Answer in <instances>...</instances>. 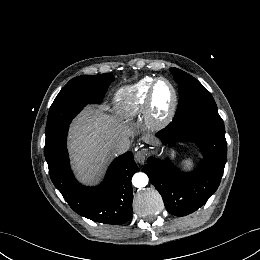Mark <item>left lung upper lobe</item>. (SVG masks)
<instances>
[{
    "label": "left lung upper lobe",
    "instance_id": "5c2ea615",
    "mask_svg": "<svg viewBox=\"0 0 260 260\" xmlns=\"http://www.w3.org/2000/svg\"><path fill=\"white\" fill-rule=\"evenodd\" d=\"M171 73L179 85V102L174 119H180L192 111L200 109H217L209 91L194 77L177 68Z\"/></svg>",
    "mask_w": 260,
    "mask_h": 260
}]
</instances>
